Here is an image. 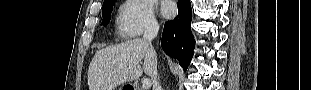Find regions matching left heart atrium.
Masks as SVG:
<instances>
[{
    "mask_svg": "<svg viewBox=\"0 0 311 90\" xmlns=\"http://www.w3.org/2000/svg\"><path fill=\"white\" fill-rule=\"evenodd\" d=\"M176 8L171 1H165L162 5V14L166 18H171L175 14Z\"/></svg>",
    "mask_w": 311,
    "mask_h": 90,
    "instance_id": "39dd6f15",
    "label": "left heart atrium"
}]
</instances>
